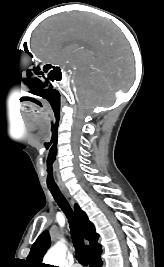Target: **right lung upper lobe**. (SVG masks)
<instances>
[{
	"label": "right lung upper lobe",
	"instance_id": "cb5924a9",
	"mask_svg": "<svg viewBox=\"0 0 164 267\" xmlns=\"http://www.w3.org/2000/svg\"><path fill=\"white\" fill-rule=\"evenodd\" d=\"M75 213L81 225L84 237L89 240L90 245L86 246L87 257L91 254L100 251L101 246L97 243L99 235L95 232L94 225L89 221L87 215L75 204ZM51 244L48 231H44L33 244L27 263L30 267H42L41 263L46 250Z\"/></svg>",
	"mask_w": 164,
	"mask_h": 267
}]
</instances>
